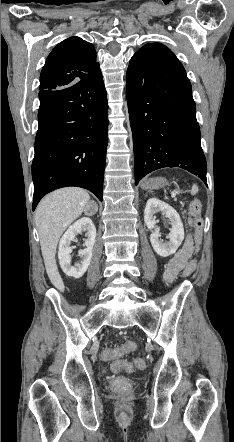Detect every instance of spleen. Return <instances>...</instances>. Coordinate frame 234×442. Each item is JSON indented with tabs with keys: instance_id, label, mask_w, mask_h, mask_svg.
<instances>
[{
	"instance_id": "spleen-1",
	"label": "spleen",
	"mask_w": 234,
	"mask_h": 442,
	"mask_svg": "<svg viewBox=\"0 0 234 442\" xmlns=\"http://www.w3.org/2000/svg\"><path fill=\"white\" fill-rule=\"evenodd\" d=\"M197 191H198V189L193 187L191 190V194L194 195L197 193Z\"/></svg>"
}]
</instances>
